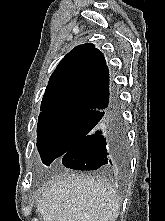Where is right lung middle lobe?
<instances>
[{
	"instance_id": "1",
	"label": "right lung middle lobe",
	"mask_w": 165,
	"mask_h": 221,
	"mask_svg": "<svg viewBox=\"0 0 165 221\" xmlns=\"http://www.w3.org/2000/svg\"><path fill=\"white\" fill-rule=\"evenodd\" d=\"M101 120L100 111L58 110L40 113L37 147L42 162L50 165L88 135Z\"/></svg>"
}]
</instances>
